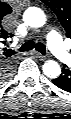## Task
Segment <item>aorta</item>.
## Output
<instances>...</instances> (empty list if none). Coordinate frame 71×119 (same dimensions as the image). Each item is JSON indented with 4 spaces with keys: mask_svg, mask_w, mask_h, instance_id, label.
I'll list each match as a JSON object with an SVG mask.
<instances>
[{
    "mask_svg": "<svg viewBox=\"0 0 71 119\" xmlns=\"http://www.w3.org/2000/svg\"><path fill=\"white\" fill-rule=\"evenodd\" d=\"M27 23L32 27H41L45 24L46 17L42 10L32 8L25 15ZM43 72L46 76L57 77L60 74V66L53 60H48L43 65Z\"/></svg>",
    "mask_w": 71,
    "mask_h": 119,
    "instance_id": "obj_1",
    "label": "aorta"
}]
</instances>
